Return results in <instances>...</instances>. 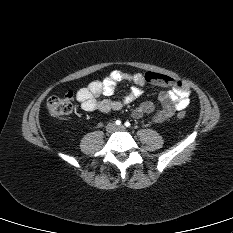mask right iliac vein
Segmentation results:
<instances>
[{
	"instance_id": "63e3f726",
	"label": "right iliac vein",
	"mask_w": 233,
	"mask_h": 233,
	"mask_svg": "<svg viewBox=\"0 0 233 233\" xmlns=\"http://www.w3.org/2000/svg\"><path fill=\"white\" fill-rule=\"evenodd\" d=\"M115 130V125L113 123H110L106 126V131L108 133H112Z\"/></svg>"
}]
</instances>
